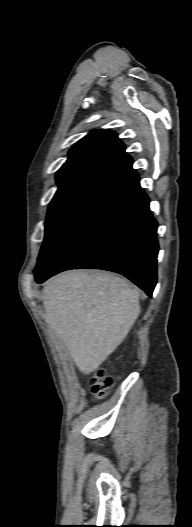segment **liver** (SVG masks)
<instances>
[{
  "instance_id": "1",
  "label": "liver",
  "mask_w": 192,
  "mask_h": 527,
  "mask_svg": "<svg viewBox=\"0 0 192 527\" xmlns=\"http://www.w3.org/2000/svg\"><path fill=\"white\" fill-rule=\"evenodd\" d=\"M138 291L108 272L70 271L45 283V320L83 374L95 371L140 314Z\"/></svg>"
}]
</instances>
